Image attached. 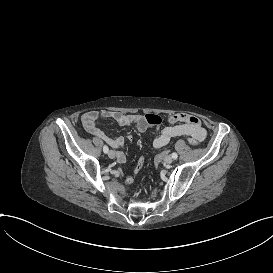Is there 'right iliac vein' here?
<instances>
[{"instance_id":"obj_1","label":"right iliac vein","mask_w":273,"mask_h":273,"mask_svg":"<svg viewBox=\"0 0 273 273\" xmlns=\"http://www.w3.org/2000/svg\"><path fill=\"white\" fill-rule=\"evenodd\" d=\"M108 157L111 159L115 158V152L113 150L108 151Z\"/></svg>"}]
</instances>
